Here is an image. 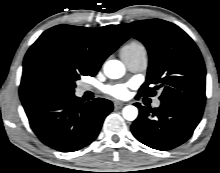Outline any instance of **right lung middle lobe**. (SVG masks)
<instances>
[{
	"mask_svg": "<svg viewBox=\"0 0 220 173\" xmlns=\"http://www.w3.org/2000/svg\"><path fill=\"white\" fill-rule=\"evenodd\" d=\"M81 76H86L75 71L66 72L58 81H56L51 89L50 94H71L74 93L75 82Z\"/></svg>",
	"mask_w": 220,
	"mask_h": 173,
	"instance_id": "dd1d6c3e",
	"label": "right lung middle lobe"
}]
</instances>
